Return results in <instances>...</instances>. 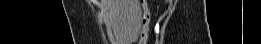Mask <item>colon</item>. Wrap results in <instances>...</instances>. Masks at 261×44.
<instances>
[{"label":"colon","mask_w":261,"mask_h":44,"mask_svg":"<svg viewBox=\"0 0 261 44\" xmlns=\"http://www.w3.org/2000/svg\"><path fill=\"white\" fill-rule=\"evenodd\" d=\"M141 2L143 3V13H144V17H143L144 23H143V25L145 26V21H147L148 15H147V9H146V5H145V1H141Z\"/></svg>","instance_id":"1"}]
</instances>
